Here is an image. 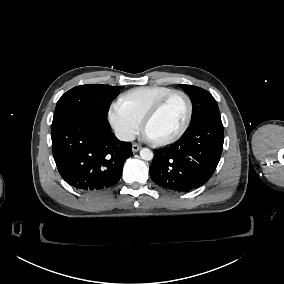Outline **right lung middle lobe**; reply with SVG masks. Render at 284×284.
Instances as JSON below:
<instances>
[{
  "mask_svg": "<svg viewBox=\"0 0 284 284\" xmlns=\"http://www.w3.org/2000/svg\"><path fill=\"white\" fill-rule=\"evenodd\" d=\"M119 92V86L90 84L74 87L58 100L53 122L76 111H91L107 117L110 104Z\"/></svg>",
  "mask_w": 284,
  "mask_h": 284,
  "instance_id": "obj_1",
  "label": "right lung middle lobe"
}]
</instances>
